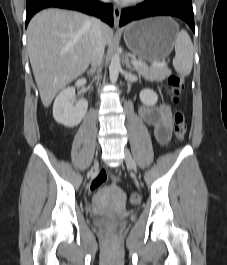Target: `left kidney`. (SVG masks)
Segmentation results:
<instances>
[{
	"mask_svg": "<svg viewBox=\"0 0 227 265\" xmlns=\"http://www.w3.org/2000/svg\"><path fill=\"white\" fill-rule=\"evenodd\" d=\"M139 97H140L141 102L147 106H154L158 101V96L156 92L148 88L143 89L140 92Z\"/></svg>",
	"mask_w": 227,
	"mask_h": 265,
	"instance_id": "obj_1",
	"label": "left kidney"
}]
</instances>
